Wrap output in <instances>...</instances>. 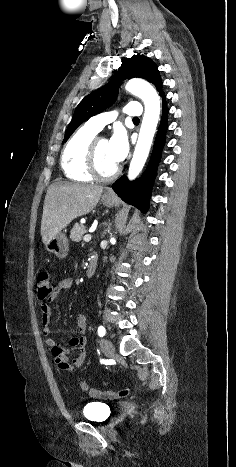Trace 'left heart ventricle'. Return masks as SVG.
<instances>
[{"label": "left heart ventricle", "instance_id": "1", "mask_svg": "<svg viewBox=\"0 0 236 467\" xmlns=\"http://www.w3.org/2000/svg\"><path fill=\"white\" fill-rule=\"evenodd\" d=\"M97 164L99 170L103 174L110 173L116 166L117 163L111 158L108 149V141L104 138H101L98 141L97 146Z\"/></svg>", "mask_w": 236, "mask_h": 467}]
</instances>
